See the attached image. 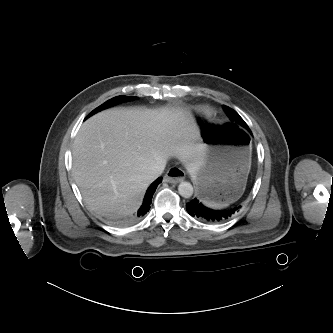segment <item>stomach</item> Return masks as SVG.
Here are the masks:
<instances>
[{"instance_id": "obj_1", "label": "stomach", "mask_w": 333, "mask_h": 333, "mask_svg": "<svg viewBox=\"0 0 333 333\" xmlns=\"http://www.w3.org/2000/svg\"><path fill=\"white\" fill-rule=\"evenodd\" d=\"M203 163L193 179L200 196L226 206L246 185L251 166L250 137L229 124L203 125Z\"/></svg>"}]
</instances>
